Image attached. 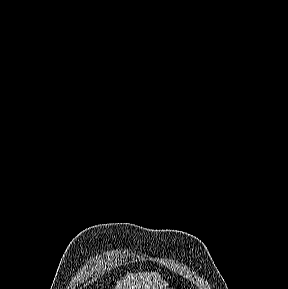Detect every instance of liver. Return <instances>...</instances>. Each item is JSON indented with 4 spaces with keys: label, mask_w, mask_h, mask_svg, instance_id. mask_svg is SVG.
Segmentation results:
<instances>
[{
    "label": "liver",
    "mask_w": 288,
    "mask_h": 289,
    "mask_svg": "<svg viewBox=\"0 0 288 289\" xmlns=\"http://www.w3.org/2000/svg\"><path fill=\"white\" fill-rule=\"evenodd\" d=\"M168 283L157 272L127 273L115 289H166Z\"/></svg>",
    "instance_id": "6515ba94"
}]
</instances>
